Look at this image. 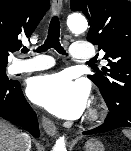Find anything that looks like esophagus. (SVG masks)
<instances>
[{"label":"esophagus","instance_id":"1","mask_svg":"<svg viewBox=\"0 0 131 151\" xmlns=\"http://www.w3.org/2000/svg\"><path fill=\"white\" fill-rule=\"evenodd\" d=\"M62 0H53L52 1V10L54 14L59 15L62 11ZM42 126L44 131L51 137H55L57 135V127L50 119L46 117H42Z\"/></svg>","mask_w":131,"mask_h":151}]
</instances>
